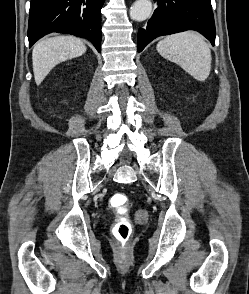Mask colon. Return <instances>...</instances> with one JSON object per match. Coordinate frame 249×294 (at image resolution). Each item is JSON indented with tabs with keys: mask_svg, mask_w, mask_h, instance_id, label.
Wrapping results in <instances>:
<instances>
[{
	"mask_svg": "<svg viewBox=\"0 0 249 294\" xmlns=\"http://www.w3.org/2000/svg\"><path fill=\"white\" fill-rule=\"evenodd\" d=\"M112 200L113 206L120 211H122V208L128 203V198L124 194L114 195ZM113 231L116 239L124 244L127 243L132 236L133 225L126 217L121 216L114 225Z\"/></svg>",
	"mask_w": 249,
	"mask_h": 294,
	"instance_id": "1",
	"label": "colon"
}]
</instances>
